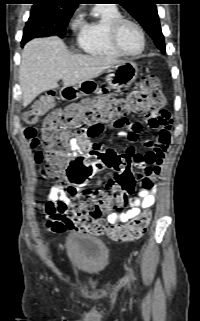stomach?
Segmentation results:
<instances>
[{"mask_svg": "<svg viewBox=\"0 0 200 321\" xmlns=\"http://www.w3.org/2000/svg\"><path fill=\"white\" fill-rule=\"evenodd\" d=\"M108 72L106 83L109 87L120 88L131 85L136 80L138 67L133 61H124L111 67ZM97 89L96 83L93 80H88L74 86L64 87L60 95L65 100H75L95 92Z\"/></svg>", "mask_w": 200, "mask_h": 321, "instance_id": "obj_1", "label": "stomach"}]
</instances>
